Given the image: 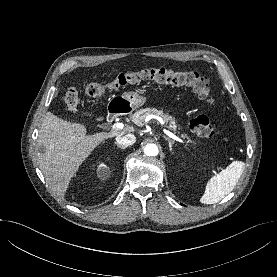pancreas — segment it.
<instances>
[{"instance_id":"pancreas-1","label":"pancreas","mask_w":277,"mask_h":277,"mask_svg":"<svg viewBox=\"0 0 277 277\" xmlns=\"http://www.w3.org/2000/svg\"><path fill=\"white\" fill-rule=\"evenodd\" d=\"M148 115H157L161 117L164 121V123L167 125V128L179 133L180 128L176 125L175 119L168 115L165 114L162 110H157L155 108H145V109H140L139 111L135 112L132 116V121L139 127L143 126L145 118ZM186 137V136H184Z\"/></svg>"}]
</instances>
